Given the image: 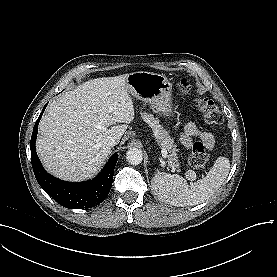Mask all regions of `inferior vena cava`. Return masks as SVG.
Returning a JSON list of instances; mask_svg holds the SVG:
<instances>
[{
  "instance_id": "1",
  "label": "inferior vena cava",
  "mask_w": 277,
  "mask_h": 277,
  "mask_svg": "<svg viewBox=\"0 0 277 277\" xmlns=\"http://www.w3.org/2000/svg\"><path fill=\"white\" fill-rule=\"evenodd\" d=\"M118 143H119V139L116 136H108L105 141V144L108 147H113Z\"/></svg>"
}]
</instances>
